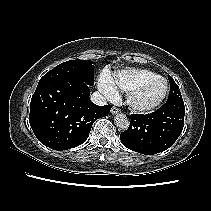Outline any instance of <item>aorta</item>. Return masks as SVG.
<instances>
[{"instance_id": "762f6f07", "label": "aorta", "mask_w": 211, "mask_h": 211, "mask_svg": "<svg viewBox=\"0 0 211 211\" xmlns=\"http://www.w3.org/2000/svg\"><path fill=\"white\" fill-rule=\"evenodd\" d=\"M114 121L116 126L122 130H126L129 127V119L124 114H117Z\"/></svg>"}]
</instances>
